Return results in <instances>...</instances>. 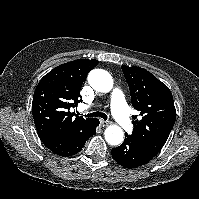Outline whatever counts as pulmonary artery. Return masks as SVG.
<instances>
[{
  "label": "pulmonary artery",
  "instance_id": "e3ab8cb5",
  "mask_svg": "<svg viewBox=\"0 0 199 199\" xmlns=\"http://www.w3.org/2000/svg\"><path fill=\"white\" fill-rule=\"evenodd\" d=\"M111 109L115 119L121 125V127L129 131L132 128V122L124 95L118 88H114L111 91Z\"/></svg>",
  "mask_w": 199,
  "mask_h": 199
}]
</instances>
